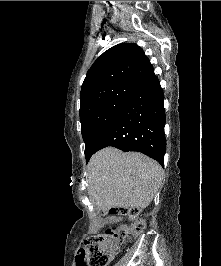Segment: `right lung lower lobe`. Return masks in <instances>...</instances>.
<instances>
[{"mask_svg": "<svg viewBox=\"0 0 221 266\" xmlns=\"http://www.w3.org/2000/svg\"><path fill=\"white\" fill-rule=\"evenodd\" d=\"M163 102L160 82L158 77L153 76L133 94L93 153L114 146L122 151L142 152L164 166L166 140Z\"/></svg>", "mask_w": 221, "mask_h": 266, "instance_id": "98d812e1", "label": "right lung lower lobe"}]
</instances>
